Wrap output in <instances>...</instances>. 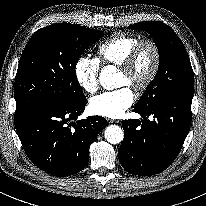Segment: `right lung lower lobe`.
I'll list each match as a JSON object with an SVG mask.
<instances>
[{"label": "right lung lower lobe", "mask_w": 206, "mask_h": 206, "mask_svg": "<svg viewBox=\"0 0 206 206\" xmlns=\"http://www.w3.org/2000/svg\"><path fill=\"white\" fill-rule=\"evenodd\" d=\"M86 103L85 98L74 104H45L15 116L24 151L38 168L63 177L86 167L91 143L108 125L101 116L71 122L84 112Z\"/></svg>", "instance_id": "98d812e1"}]
</instances>
